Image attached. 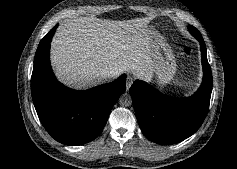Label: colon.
Listing matches in <instances>:
<instances>
[{"mask_svg": "<svg viewBox=\"0 0 237 169\" xmlns=\"http://www.w3.org/2000/svg\"><path fill=\"white\" fill-rule=\"evenodd\" d=\"M183 53H184L185 55H190V54H191V48H190L189 46H185V47L183 48Z\"/></svg>", "mask_w": 237, "mask_h": 169, "instance_id": "1", "label": "colon"}]
</instances>
